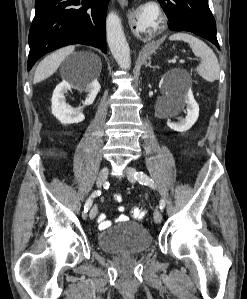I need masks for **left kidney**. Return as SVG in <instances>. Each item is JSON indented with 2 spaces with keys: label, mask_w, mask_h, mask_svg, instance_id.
Returning <instances> with one entry per match:
<instances>
[{
  "label": "left kidney",
  "mask_w": 247,
  "mask_h": 299,
  "mask_svg": "<svg viewBox=\"0 0 247 299\" xmlns=\"http://www.w3.org/2000/svg\"><path fill=\"white\" fill-rule=\"evenodd\" d=\"M160 86L164 87L163 79L160 81ZM170 102L167 106V112L170 115L177 114L186 104L187 106V115L185 119L180 120L179 123H173L170 120L167 121L168 127L177 132H185L189 130L197 121L199 116V106L194 99L191 88H188L186 91L174 94L169 93Z\"/></svg>",
  "instance_id": "5707ae66"
}]
</instances>
